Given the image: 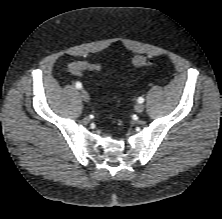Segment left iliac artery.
I'll list each match as a JSON object with an SVG mask.
<instances>
[{
  "instance_id": "obj_1",
  "label": "left iliac artery",
  "mask_w": 222,
  "mask_h": 219,
  "mask_svg": "<svg viewBox=\"0 0 222 219\" xmlns=\"http://www.w3.org/2000/svg\"><path fill=\"white\" fill-rule=\"evenodd\" d=\"M138 102H139V103H143V102H144V98H143V97H139V98H138Z\"/></svg>"
}]
</instances>
